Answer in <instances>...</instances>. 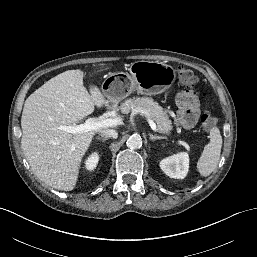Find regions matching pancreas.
<instances>
[{
  "mask_svg": "<svg viewBox=\"0 0 257 257\" xmlns=\"http://www.w3.org/2000/svg\"><path fill=\"white\" fill-rule=\"evenodd\" d=\"M120 109L125 114L136 112L148 115L156 123L157 130L163 134L169 135L173 129L166 111L151 98L128 99L121 105Z\"/></svg>",
  "mask_w": 257,
  "mask_h": 257,
  "instance_id": "1",
  "label": "pancreas"
}]
</instances>
